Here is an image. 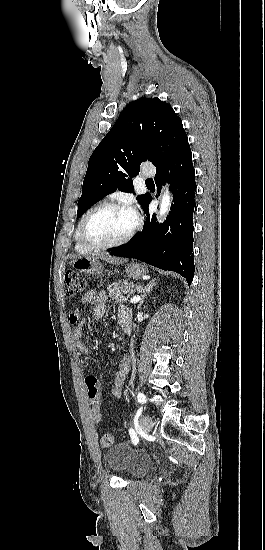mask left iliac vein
Instances as JSON below:
<instances>
[{
	"label": "left iliac vein",
	"instance_id": "left-iliac-vein-1",
	"mask_svg": "<svg viewBox=\"0 0 265 550\" xmlns=\"http://www.w3.org/2000/svg\"><path fill=\"white\" fill-rule=\"evenodd\" d=\"M141 427L145 433H150L153 427V421L149 415H143L140 421Z\"/></svg>",
	"mask_w": 265,
	"mask_h": 550
}]
</instances>
